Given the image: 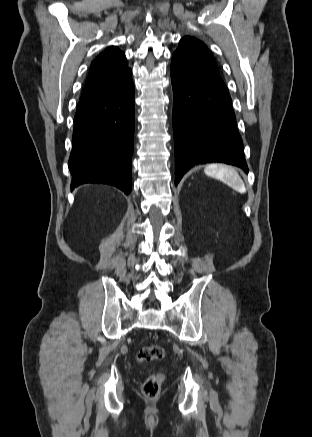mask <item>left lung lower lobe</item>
Segmentation results:
<instances>
[{
	"label": "left lung lower lobe",
	"instance_id": "1",
	"mask_svg": "<svg viewBox=\"0 0 312 437\" xmlns=\"http://www.w3.org/2000/svg\"><path fill=\"white\" fill-rule=\"evenodd\" d=\"M170 73L175 185L197 164L222 162L248 172L231 98L221 77L177 52Z\"/></svg>",
	"mask_w": 312,
	"mask_h": 437
}]
</instances>
